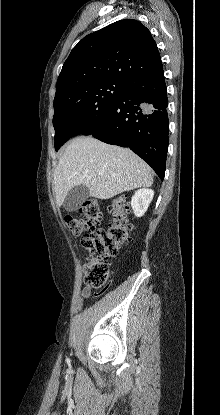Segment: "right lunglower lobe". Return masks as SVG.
Returning <instances> with one entry per match:
<instances>
[{"label": "right lung lower lobe", "mask_w": 220, "mask_h": 415, "mask_svg": "<svg viewBox=\"0 0 220 415\" xmlns=\"http://www.w3.org/2000/svg\"><path fill=\"white\" fill-rule=\"evenodd\" d=\"M167 106L162 68L129 83L104 124L91 135L105 143L130 148L163 180L169 132Z\"/></svg>", "instance_id": "1"}]
</instances>
